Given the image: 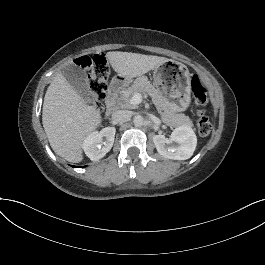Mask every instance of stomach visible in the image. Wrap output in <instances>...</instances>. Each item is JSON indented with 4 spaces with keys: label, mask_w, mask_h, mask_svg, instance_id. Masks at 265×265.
Here are the masks:
<instances>
[{
    "label": "stomach",
    "mask_w": 265,
    "mask_h": 265,
    "mask_svg": "<svg viewBox=\"0 0 265 265\" xmlns=\"http://www.w3.org/2000/svg\"><path fill=\"white\" fill-rule=\"evenodd\" d=\"M155 88L173 105L176 112L185 111L191 103V74L188 68L175 60L155 67Z\"/></svg>",
    "instance_id": "1"
}]
</instances>
